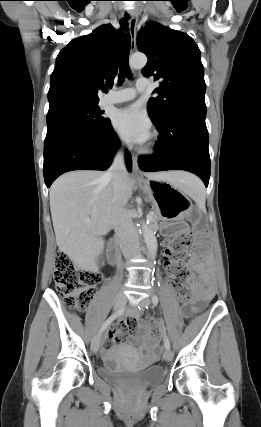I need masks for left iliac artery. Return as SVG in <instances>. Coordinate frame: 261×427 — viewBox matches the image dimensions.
<instances>
[{
    "instance_id": "44dca946",
    "label": "left iliac artery",
    "mask_w": 261,
    "mask_h": 427,
    "mask_svg": "<svg viewBox=\"0 0 261 427\" xmlns=\"http://www.w3.org/2000/svg\"><path fill=\"white\" fill-rule=\"evenodd\" d=\"M152 303L156 306L158 304V297L156 295H152ZM148 309V306H146ZM164 345L166 349H170V341L167 336H164Z\"/></svg>"
}]
</instances>
